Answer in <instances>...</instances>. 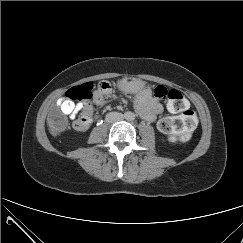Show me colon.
I'll return each mask as SVG.
<instances>
[{
	"label": "colon",
	"mask_w": 243,
	"mask_h": 243,
	"mask_svg": "<svg viewBox=\"0 0 243 243\" xmlns=\"http://www.w3.org/2000/svg\"><path fill=\"white\" fill-rule=\"evenodd\" d=\"M94 85L91 82L82 83L70 88L66 97L70 101L87 102L94 98ZM111 86L108 82L102 81L98 84L97 90L102 92L110 91ZM154 95L157 99L168 100V109L170 112L177 114L172 117H166L158 122V129L168 136L171 140L185 141L190 138L196 127V115L189 109L187 99L181 92L171 89L168 90L163 86H157L154 89ZM59 110L60 107L58 106ZM90 119V114L83 112L75 122V128H84ZM49 131L57 135L62 132L66 126V119L58 111L49 115L47 120Z\"/></svg>",
	"instance_id": "colon-1"
}]
</instances>
